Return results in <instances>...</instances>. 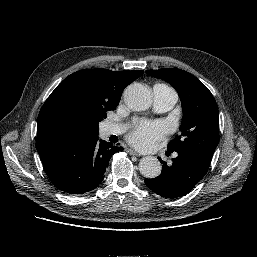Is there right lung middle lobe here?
<instances>
[{
	"label": "right lung middle lobe",
	"mask_w": 257,
	"mask_h": 257,
	"mask_svg": "<svg viewBox=\"0 0 257 257\" xmlns=\"http://www.w3.org/2000/svg\"><path fill=\"white\" fill-rule=\"evenodd\" d=\"M117 105L93 104L85 109V115L91 124L95 136L98 135L99 131L98 123L107 117V111L115 110Z\"/></svg>",
	"instance_id": "obj_1"
}]
</instances>
